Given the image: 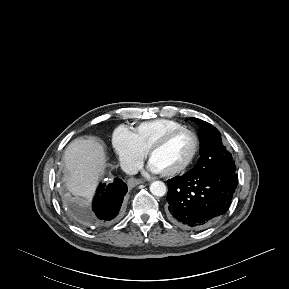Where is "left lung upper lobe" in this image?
<instances>
[{
    "label": "left lung upper lobe",
    "instance_id": "5c2ea615",
    "mask_svg": "<svg viewBox=\"0 0 289 289\" xmlns=\"http://www.w3.org/2000/svg\"><path fill=\"white\" fill-rule=\"evenodd\" d=\"M199 126L200 158L192 170L210 169L217 165H229L235 169L232 155L221 143L220 132L211 124L197 118H189Z\"/></svg>",
    "mask_w": 289,
    "mask_h": 289
}]
</instances>
